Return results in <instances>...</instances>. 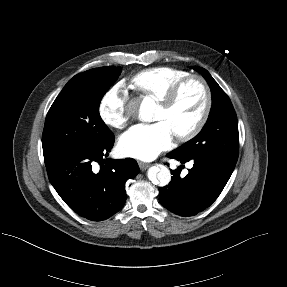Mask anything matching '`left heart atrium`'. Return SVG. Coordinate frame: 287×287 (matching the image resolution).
Returning a JSON list of instances; mask_svg holds the SVG:
<instances>
[{
	"instance_id": "39dd6f15",
	"label": "left heart atrium",
	"mask_w": 287,
	"mask_h": 287,
	"mask_svg": "<svg viewBox=\"0 0 287 287\" xmlns=\"http://www.w3.org/2000/svg\"><path fill=\"white\" fill-rule=\"evenodd\" d=\"M173 134L162 121L137 124L125 132L119 140L121 153L140 160H152L172 144Z\"/></svg>"
}]
</instances>
